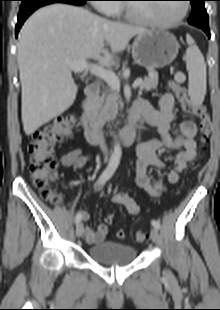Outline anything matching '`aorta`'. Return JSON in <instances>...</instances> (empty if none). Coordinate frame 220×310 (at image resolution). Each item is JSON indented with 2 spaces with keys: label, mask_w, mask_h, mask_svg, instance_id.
<instances>
[{
  "label": "aorta",
  "mask_w": 220,
  "mask_h": 310,
  "mask_svg": "<svg viewBox=\"0 0 220 310\" xmlns=\"http://www.w3.org/2000/svg\"><path fill=\"white\" fill-rule=\"evenodd\" d=\"M115 148L120 149V145L118 143H115Z\"/></svg>",
  "instance_id": "obj_1"
}]
</instances>
